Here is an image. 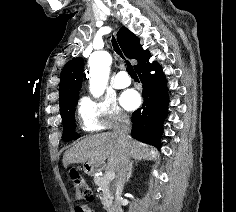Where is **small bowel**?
<instances>
[{
  "mask_svg": "<svg viewBox=\"0 0 236 212\" xmlns=\"http://www.w3.org/2000/svg\"><path fill=\"white\" fill-rule=\"evenodd\" d=\"M75 212H90V205H75Z\"/></svg>",
  "mask_w": 236,
  "mask_h": 212,
  "instance_id": "c3829d8e",
  "label": "small bowel"
}]
</instances>
